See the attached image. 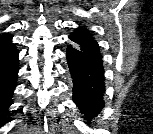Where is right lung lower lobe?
Segmentation results:
<instances>
[{"label": "right lung lower lobe", "mask_w": 153, "mask_h": 134, "mask_svg": "<svg viewBox=\"0 0 153 134\" xmlns=\"http://www.w3.org/2000/svg\"><path fill=\"white\" fill-rule=\"evenodd\" d=\"M18 51L14 44L0 47V127L7 123L6 115L18 73Z\"/></svg>", "instance_id": "right-lung-lower-lobe-1"}]
</instances>
